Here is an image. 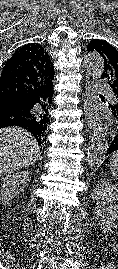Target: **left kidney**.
<instances>
[{"label":"left kidney","mask_w":118,"mask_h":269,"mask_svg":"<svg viewBox=\"0 0 118 269\" xmlns=\"http://www.w3.org/2000/svg\"><path fill=\"white\" fill-rule=\"evenodd\" d=\"M92 199L97 201L93 213L98 225L110 230L118 218V188L109 180L101 179L96 184Z\"/></svg>","instance_id":"5707ae66"}]
</instances>
